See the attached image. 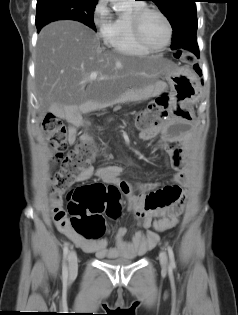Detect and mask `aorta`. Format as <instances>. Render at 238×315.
<instances>
[{"mask_svg": "<svg viewBox=\"0 0 238 315\" xmlns=\"http://www.w3.org/2000/svg\"><path fill=\"white\" fill-rule=\"evenodd\" d=\"M112 5H113V9L115 11H123L125 6H124V3H123V0H109Z\"/></svg>", "mask_w": 238, "mask_h": 315, "instance_id": "762f6f07", "label": "aorta"}]
</instances>
